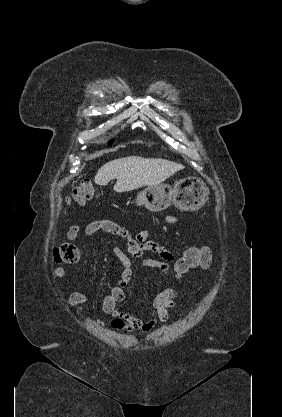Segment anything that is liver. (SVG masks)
Returning <instances> with one entry per match:
<instances>
[{
	"label": "liver",
	"mask_w": 282,
	"mask_h": 417,
	"mask_svg": "<svg viewBox=\"0 0 282 417\" xmlns=\"http://www.w3.org/2000/svg\"><path fill=\"white\" fill-rule=\"evenodd\" d=\"M185 168L184 164L166 160V158H142V156H123V158H114L110 162L103 164L97 174L94 182L96 184H108L112 178H117L113 190L116 192H125V190H134L140 186H155L160 184L171 174Z\"/></svg>",
	"instance_id": "liver-1"
}]
</instances>
